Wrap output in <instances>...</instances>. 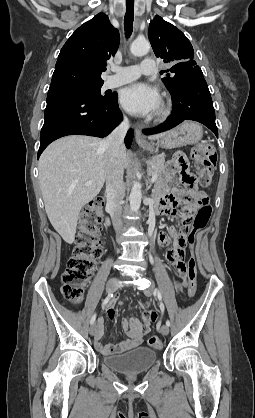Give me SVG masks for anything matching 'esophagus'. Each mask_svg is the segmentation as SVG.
Listing matches in <instances>:
<instances>
[{
	"instance_id": "esophagus-1",
	"label": "esophagus",
	"mask_w": 255,
	"mask_h": 418,
	"mask_svg": "<svg viewBox=\"0 0 255 418\" xmlns=\"http://www.w3.org/2000/svg\"><path fill=\"white\" fill-rule=\"evenodd\" d=\"M135 140L138 144H143L146 142L144 136L142 135L141 131L139 129H135Z\"/></svg>"
}]
</instances>
